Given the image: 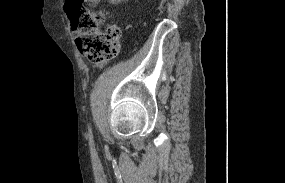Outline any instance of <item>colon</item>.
Instances as JSON below:
<instances>
[{"label":"colon","instance_id":"5ec220e1","mask_svg":"<svg viewBox=\"0 0 285 183\" xmlns=\"http://www.w3.org/2000/svg\"><path fill=\"white\" fill-rule=\"evenodd\" d=\"M87 0H66L64 10L70 22L75 43L81 54L92 61H101L115 57L120 50V28L111 25L101 29L104 13L89 9Z\"/></svg>","mask_w":285,"mask_h":183}]
</instances>
